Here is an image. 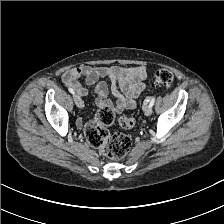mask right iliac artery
Segmentation results:
<instances>
[{
	"instance_id": "right-iliac-artery-1",
	"label": "right iliac artery",
	"mask_w": 224,
	"mask_h": 224,
	"mask_svg": "<svg viewBox=\"0 0 224 224\" xmlns=\"http://www.w3.org/2000/svg\"><path fill=\"white\" fill-rule=\"evenodd\" d=\"M68 90H69V92L71 93V94H75V92H74V90L72 89V88H68Z\"/></svg>"
}]
</instances>
